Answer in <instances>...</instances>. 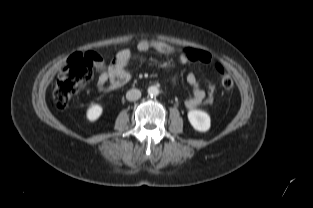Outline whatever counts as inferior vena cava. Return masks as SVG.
<instances>
[{"label":"inferior vena cava","instance_id":"inferior-vena-cava-1","mask_svg":"<svg viewBox=\"0 0 313 208\" xmlns=\"http://www.w3.org/2000/svg\"><path fill=\"white\" fill-rule=\"evenodd\" d=\"M141 97V91L138 89H131L126 93V98L129 101H136Z\"/></svg>","mask_w":313,"mask_h":208}]
</instances>
